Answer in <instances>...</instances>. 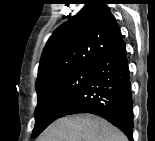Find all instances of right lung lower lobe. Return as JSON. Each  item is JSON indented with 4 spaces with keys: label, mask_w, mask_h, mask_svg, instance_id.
I'll return each instance as SVG.
<instances>
[{
    "label": "right lung lower lobe",
    "mask_w": 155,
    "mask_h": 141,
    "mask_svg": "<svg viewBox=\"0 0 155 141\" xmlns=\"http://www.w3.org/2000/svg\"><path fill=\"white\" fill-rule=\"evenodd\" d=\"M76 113L99 115L121 129L129 140L133 139V100L122 36L99 60L59 118Z\"/></svg>",
    "instance_id": "obj_1"
}]
</instances>
